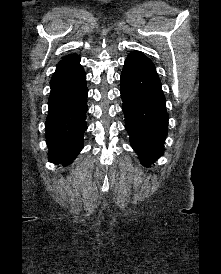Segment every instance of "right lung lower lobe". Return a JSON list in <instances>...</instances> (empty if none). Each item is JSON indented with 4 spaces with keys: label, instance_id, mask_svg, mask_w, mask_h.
Listing matches in <instances>:
<instances>
[{
    "label": "right lung lower lobe",
    "instance_id": "obj_1",
    "mask_svg": "<svg viewBox=\"0 0 221 274\" xmlns=\"http://www.w3.org/2000/svg\"><path fill=\"white\" fill-rule=\"evenodd\" d=\"M46 118L48 160L67 166L82 150L88 110L86 74L80 58L58 66L50 81Z\"/></svg>",
    "mask_w": 221,
    "mask_h": 274
}]
</instances>
